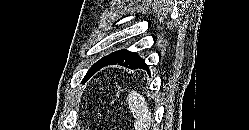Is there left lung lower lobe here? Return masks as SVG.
<instances>
[{
  "instance_id": "obj_1",
  "label": "left lung lower lobe",
  "mask_w": 249,
  "mask_h": 130,
  "mask_svg": "<svg viewBox=\"0 0 249 130\" xmlns=\"http://www.w3.org/2000/svg\"><path fill=\"white\" fill-rule=\"evenodd\" d=\"M111 64L122 65L129 69L144 68L145 70H148V65L145 63V61L140 58L138 54L128 50H122L117 56L107 60L98 70Z\"/></svg>"
}]
</instances>
